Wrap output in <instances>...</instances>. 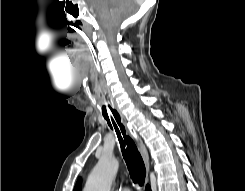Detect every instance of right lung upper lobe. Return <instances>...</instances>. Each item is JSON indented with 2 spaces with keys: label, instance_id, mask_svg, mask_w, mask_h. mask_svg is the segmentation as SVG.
Masks as SVG:
<instances>
[{
  "label": "right lung upper lobe",
  "instance_id": "1",
  "mask_svg": "<svg viewBox=\"0 0 245 191\" xmlns=\"http://www.w3.org/2000/svg\"><path fill=\"white\" fill-rule=\"evenodd\" d=\"M81 182H82V180H81V178H79V180L77 181L76 186L74 188V191H80Z\"/></svg>",
  "mask_w": 245,
  "mask_h": 191
}]
</instances>
